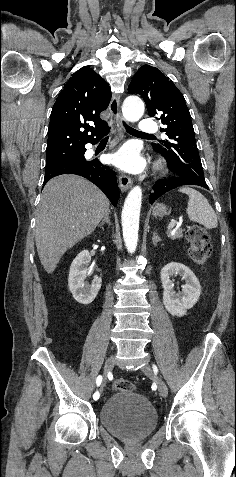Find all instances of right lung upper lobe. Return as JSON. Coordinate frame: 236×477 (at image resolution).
Segmentation results:
<instances>
[{
    "label": "right lung upper lobe",
    "mask_w": 236,
    "mask_h": 477,
    "mask_svg": "<svg viewBox=\"0 0 236 477\" xmlns=\"http://www.w3.org/2000/svg\"><path fill=\"white\" fill-rule=\"evenodd\" d=\"M110 99L109 85L90 67L84 66L72 74L51 112L47 166H58L64 159L82 152L85 144L99 140L108 131V124L99 115L106 110Z\"/></svg>",
    "instance_id": "1"
}]
</instances>
